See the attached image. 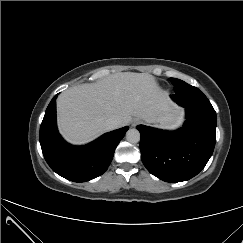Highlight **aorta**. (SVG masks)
<instances>
[{
    "label": "aorta",
    "instance_id": "aorta-1",
    "mask_svg": "<svg viewBox=\"0 0 243 243\" xmlns=\"http://www.w3.org/2000/svg\"><path fill=\"white\" fill-rule=\"evenodd\" d=\"M126 139L130 143H138L140 141V133L137 129H129L126 133Z\"/></svg>",
    "mask_w": 243,
    "mask_h": 243
}]
</instances>
